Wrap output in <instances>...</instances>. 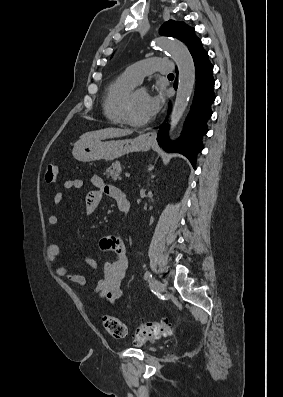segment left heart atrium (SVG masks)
I'll list each match as a JSON object with an SVG mask.
<instances>
[{
    "label": "left heart atrium",
    "mask_w": 283,
    "mask_h": 397,
    "mask_svg": "<svg viewBox=\"0 0 283 397\" xmlns=\"http://www.w3.org/2000/svg\"><path fill=\"white\" fill-rule=\"evenodd\" d=\"M163 103V97L160 93L155 95H147L146 99V111L148 115L154 116L161 108Z\"/></svg>",
    "instance_id": "1"
}]
</instances>
